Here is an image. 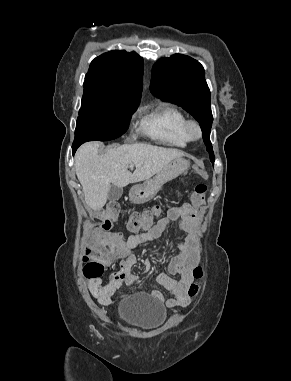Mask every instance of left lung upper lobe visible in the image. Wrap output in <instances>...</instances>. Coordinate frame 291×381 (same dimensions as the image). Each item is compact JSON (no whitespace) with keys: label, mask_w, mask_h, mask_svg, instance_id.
Segmentation results:
<instances>
[{"label":"left lung upper lobe","mask_w":291,"mask_h":381,"mask_svg":"<svg viewBox=\"0 0 291 381\" xmlns=\"http://www.w3.org/2000/svg\"><path fill=\"white\" fill-rule=\"evenodd\" d=\"M151 92L182 106L194 116L202 128L203 140L214 164L215 156L209 139L213 116L203 66L186 55L163 58L153 67Z\"/></svg>","instance_id":"1"}]
</instances>
